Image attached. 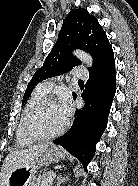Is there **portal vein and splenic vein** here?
<instances>
[{
    "label": "portal vein and splenic vein",
    "mask_w": 138,
    "mask_h": 186,
    "mask_svg": "<svg viewBox=\"0 0 138 186\" xmlns=\"http://www.w3.org/2000/svg\"><path fill=\"white\" fill-rule=\"evenodd\" d=\"M55 177H56V174L55 173H51L49 175V177H48L47 183H51L54 180Z\"/></svg>",
    "instance_id": "1"
}]
</instances>
